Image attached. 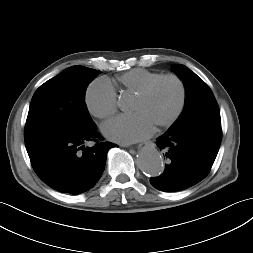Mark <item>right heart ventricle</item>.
Returning a JSON list of instances; mask_svg holds the SVG:
<instances>
[{
    "instance_id": "obj_1",
    "label": "right heart ventricle",
    "mask_w": 253,
    "mask_h": 253,
    "mask_svg": "<svg viewBox=\"0 0 253 253\" xmlns=\"http://www.w3.org/2000/svg\"><path fill=\"white\" fill-rule=\"evenodd\" d=\"M159 76L160 73L137 68L118 76L117 83L123 92L136 94L148 82Z\"/></svg>"
}]
</instances>
